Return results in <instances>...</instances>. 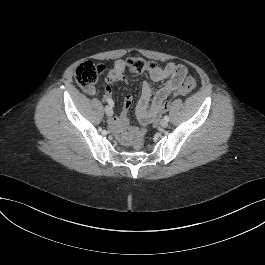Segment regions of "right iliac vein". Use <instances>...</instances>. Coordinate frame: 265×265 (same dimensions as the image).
<instances>
[{
    "label": "right iliac vein",
    "instance_id": "1",
    "mask_svg": "<svg viewBox=\"0 0 265 265\" xmlns=\"http://www.w3.org/2000/svg\"><path fill=\"white\" fill-rule=\"evenodd\" d=\"M105 113L107 116H112V114H113L112 108L110 106H106L105 107Z\"/></svg>",
    "mask_w": 265,
    "mask_h": 265
}]
</instances>
